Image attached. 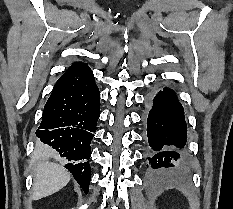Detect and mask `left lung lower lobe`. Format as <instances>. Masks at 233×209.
<instances>
[{
  "mask_svg": "<svg viewBox=\"0 0 233 209\" xmlns=\"http://www.w3.org/2000/svg\"><path fill=\"white\" fill-rule=\"evenodd\" d=\"M152 104L147 119L151 147L147 158L149 167L153 170H171L177 167V161L183 157L186 144L184 109L176 93L166 87L153 96Z\"/></svg>",
  "mask_w": 233,
  "mask_h": 209,
  "instance_id": "1",
  "label": "left lung lower lobe"
}]
</instances>
